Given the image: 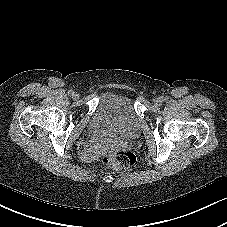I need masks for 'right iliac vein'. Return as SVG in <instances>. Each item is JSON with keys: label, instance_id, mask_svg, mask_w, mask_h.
<instances>
[{"label": "right iliac vein", "instance_id": "obj_1", "mask_svg": "<svg viewBox=\"0 0 227 227\" xmlns=\"http://www.w3.org/2000/svg\"><path fill=\"white\" fill-rule=\"evenodd\" d=\"M79 97H80V95H79L78 93H74L73 96H72V98H73L74 100H78Z\"/></svg>", "mask_w": 227, "mask_h": 227}]
</instances>
